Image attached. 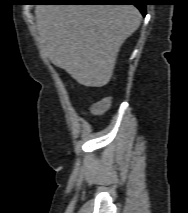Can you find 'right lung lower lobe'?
I'll use <instances>...</instances> for the list:
<instances>
[{"label":"right lung lower lobe","mask_w":188,"mask_h":213,"mask_svg":"<svg viewBox=\"0 0 188 213\" xmlns=\"http://www.w3.org/2000/svg\"><path fill=\"white\" fill-rule=\"evenodd\" d=\"M45 2H58V3H96V4H133L143 15L146 14V4L144 0H46Z\"/></svg>","instance_id":"98d812e1"}]
</instances>
